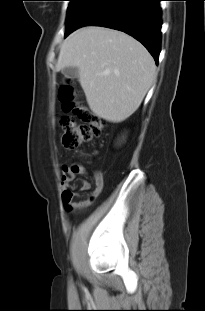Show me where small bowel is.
I'll return each instance as SVG.
<instances>
[{
	"mask_svg": "<svg viewBox=\"0 0 205 311\" xmlns=\"http://www.w3.org/2000/svg\"><path fill=\"white\" fill-rule=\"evenodd\" d=\"M87 173V169L81 163L63 165L61 168V191L64 208L67 211H81L92 204L104 187V177L100 171H93L92 178L94 189L87 180L79 179ZM80 185L77 186L76 182Z\"/></svg>",
	"mask_w": 205,
	"mask_h": 311,
	"instance_id": "small-bowel-1",
	"label": "small bowel"
}]
</instances>
